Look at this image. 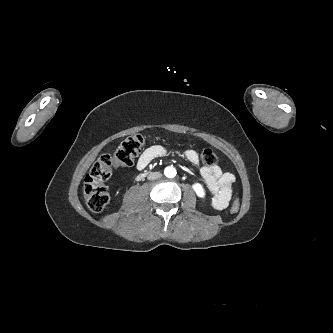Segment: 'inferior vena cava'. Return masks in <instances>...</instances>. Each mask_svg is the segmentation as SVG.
<instances>
[{"instance_id":"1","label":"inferior vena cava","mask_w":333,"mask_h":333,"mask_svg":"<svg viewBox=\"0 0 333 333\" xmlns=\"http://www.w3.org/2000/svg\"><path fill=\"white\" fill-rule=\"evenodd\" d=\"M160 177H161V174L159 172H152L148 175L149 180L158 179Z\"/></svg>"}]
</instances>
